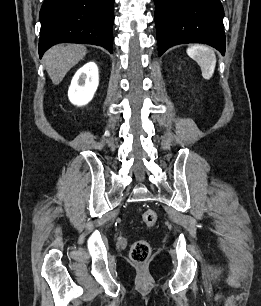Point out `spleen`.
<instances>
[{
  "mask_svg": "<svg viewBox=\"0 0 261 306\" xmlns=\"http://www.w3.org/2000/svg\"><path fill=\"white\" fill-rule=\"evenodd\" d=\"M187 54L198 63L203 78L209 80L213 76L216 66L214 51L207 46L194 45L187 49Z\"/></svg>",
  "mask_w": 261,
  "mask_h": 306,
  "instance_id": "3e777b00",
  "label": "spleen"
}]
</instances>
